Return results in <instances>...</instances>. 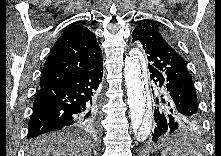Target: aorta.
Returning <instances> with one entry per match:
<instances>
[{
    "label": "aorta",
    "mask_w": 221,
    "mask_h": 156,
    "mask_svg": "<svg viewBox=\"0 0 221 156\" xmlns=\"http://www.w3.org/2000/svg\"><path fill=\"white\" fill-rule=\"evenodd\" d=\"M124 77L130 109L131 126L140 141L152 129V108L148 94L145 58L139 49H132L124 61Z\"/></svg>",
    "instance_id": "1"
}]
</instances>
